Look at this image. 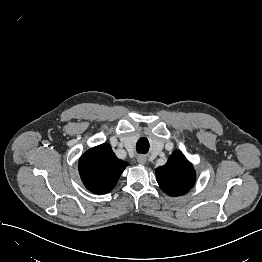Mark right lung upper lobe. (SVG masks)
<instances>
[{
    "label": "right lung upper lobe",
    "instance_id": "cb5924a9",
    "mask_svg": "<svg viewBox=\"0 0 262 262\" xmlns=\"http://www.w3.org/2000/svg\"><path fill=\"white\" fill-rule=\"evenodd\" d=\"M128 165L118 159L111 146L101 144L87 151L79 160V173L86 188L96 194L111 191Z\"/></svg>",
    "mask_w": 262,
    "mask_h": 262
}]
</instances>
